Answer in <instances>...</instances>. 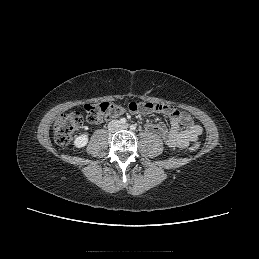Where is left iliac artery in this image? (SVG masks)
<instances>
[{"label":"left iliac artery","mask_w":259,"mask_h":259,"mask_svg":"<svg viewBox=\"0 0 259 259\" xmlns=\"http://www.w3.org/2000/svg\"><path fill=\"white\" fill-rule=\"evenodd\" d=\"M130 129H131V130H135V129H136V125H133V124H132V125L130 126Z\"/></svg>","instance_id":"left-iliac-artery-1"}]
</instances>
